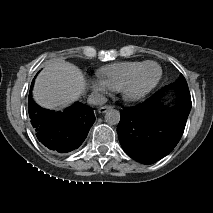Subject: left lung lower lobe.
I'll return each instance as SVG.
<instances>
[{
  "label": "left lung lower lobe",
  "instance_id": "obj_1",
  "mask_svg": "<svg viewBox=\"0 0 213 213\" xmlns=\"http://www.w3.org/2000/svg\"><path fill=\"white\" fill-rule=\"evenodd\" d=\"M168 88L178 91L179 102L166 108L161 97ZM192 106L188 85L173 83L144 103L121 110L117 127L123 150L131 158L152 164L169 154L179 142Z\"/></svg>",
  "mask_w": 213,
  "mask_h": 213
}]
</instances>
